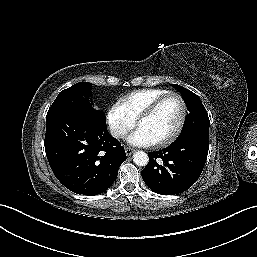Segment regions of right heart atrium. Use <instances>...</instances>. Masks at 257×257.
Listing matches in <instances>:
<instances>
[{
	"mask_svg": "<svg viewBox=\"0 0 257 257\" xmlns=\"http://www.w3.org/2000/svg\"><path fill=\"white\" fill-rule=\"evenodd\" d=\"M106 122L111 135L117 139L125 137L136 123L120 101L113 103L108 108Z\"/></svg>",
	"mask_w": 257,
	"mask_h": 257,
	"instance_id": "d8ad5b80",
	"label": "right heart atrium"
}]
</instances>
